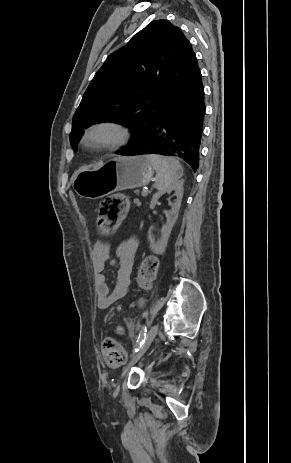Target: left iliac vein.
Here are the masks:
<instances>
[{
	"mask_svg": "<svg viewBox=\"0 0 291 463\" xmlns=\"http://www.w3.org/2000/svg\"><path fill=\"white\" fill-rule=\"evenodd\" d=\"M158 325H153L147 333L144 343L140 347L139 351L136 352L132 357L129 363L124 368L121 377L123 378L130 370V368L138 362V360L144 355V353L148 350L149 346L151 345L152 341L154 340L155 336L158 333Z\"/></svg>",
	"mask_w": 291,
	"mask_h": 463,
	"instance_id": "left-iliac-vein-1",
	"label": "left iliac vein"
}]
</instances>
